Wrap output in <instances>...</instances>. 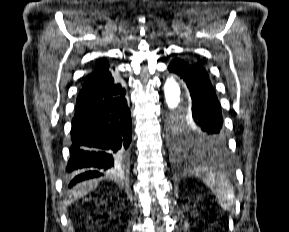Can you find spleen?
<instances>
[{"instance_id":"1","label":"spleen","mask_w":289,"mask_h":232,"mask_svg":"<svg viewBox=\"0 0 289 232\" xmlns=\"http://www.w3.org/2000/svg\"><path fill=\"white\" fill-rule=\"evenodd\" d=\"M204 182L212 190L220 206L230 211L235 203V190L226 176L224 174L215 175L210 173Z\"/></svg>"}]
</instances>
